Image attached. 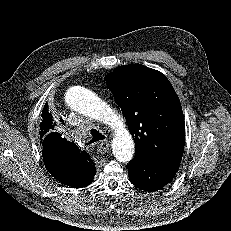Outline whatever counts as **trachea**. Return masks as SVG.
<instances>
[{"label":"trachea","instance_id":"3493384b","mask_svg":"<svg viewBox=\"0 0 231 231\" xmlns=\"http://www.w3.org/2000/svg\"><path fill=\"white\" fill-rule=\"evenodd\" d=\"M91 140L87 144L94 143L96 141L104 140L106 137L100 133L97 129H91Z\"/></svg>","mask_w":231,"mask_h":231}]
</instances>
